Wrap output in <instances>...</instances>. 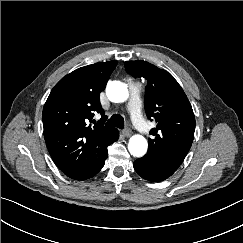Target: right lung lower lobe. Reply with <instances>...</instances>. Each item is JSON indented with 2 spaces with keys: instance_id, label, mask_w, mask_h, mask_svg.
Instances as JSON below:
<instances>
[{
  "instance_id": "obj_1",
  "label": "right lung lower lobe",
  "mask_w": 243,
  "mask_h": 243,
  "mask_svg": "<svg viewBox=\"0 0 243 243\" xmlns=\"http://www.w3.org/2000/svg\"><path fill=\"white\" fill-rule=\"evenodd\" d=\"M119 137V133L115 134L109 144H112L113 142H115ZM107 145V146H108ZM108 156V152H107V147L105 149V151L102 153V155L96 160V162H94L89 168H87L86 170L77 172V173H68V172H64L68 177L75 179V180H86L89 179L91 177H93L94 175H96L104 166L105 160L107 159Z\"/></svg>"
}]
</instances>
